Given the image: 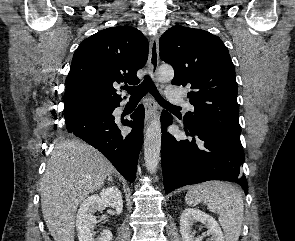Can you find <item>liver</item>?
I'll use <instances>...</instances> for the list:
<instances>
[{"mask_svg":"<svg viewBox=\"0 0 295 241\" xmlns=\"http://www.w3.org/2000/svg\"><path fill=\"white\" fill-rule=\"evenodd\" d=\"M114 172L100 152L80 140L56 144L40 190L42 214L54 241H74L79 204Z\"/></svg>","mask_w":295,"mask_h":241,"instance_id":"liver-1","label":"liver"}]
</instances>
